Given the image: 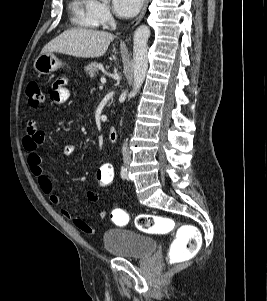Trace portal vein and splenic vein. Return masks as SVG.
I'll use <instances>...</instances> for the list:
<instances>
[{
    "label": "portal vein and splenic vein",
    "instance_id": "18ae733b",
    "mask_svg": "<svg viewBox=\"0 0 267 301\" xmlns=\"http://www.w3.org/2000/svg\"><path fill=\"white\" fill-rule=\"evenodd\" d=\"M101 83H103V84L106 83V78L105 77L101 78Z\"/></svg>",
    "mask_w": 267,
    "mask_h": 301
}]
</instances>
